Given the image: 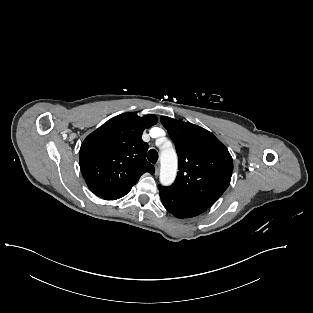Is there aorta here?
<instances>
[{
	"instance_id": "762f6f07",
	"label": "aorta",
	"mask_w": 313,
	"mask_h": 313,
	"mask_svg": "<svg viewBox=\"0 0 313 313\" xmlns=\"http://www.w3.org/2000/svg\"><path fill=\"white\" fill-rule=\"evenodd\" d=\"M160 163V182L164 186H169L174 182L177 174V154L172 147L161 151Z\"/></svg>"
}]
</instances>
